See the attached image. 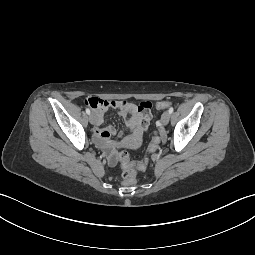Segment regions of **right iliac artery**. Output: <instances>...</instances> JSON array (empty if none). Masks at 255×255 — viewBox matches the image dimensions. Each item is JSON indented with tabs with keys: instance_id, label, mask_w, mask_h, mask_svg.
Listing matches in <instances>:
<instances>
[{
	"instance_id": "obj_1",
	"label": "right iliac artery",
	"mask_w": 255,
	"mask_h": 255,
	"mask_svg": "<svg viewBox=\"0 0 255 255\" xmlns=\"http://www.w3.org/2000/svg\"><path fill=\"white\" fill-rule=\"evenodd\" d=\"M86 113H87L88 115H90V109H89V108H86Z\"/></svg>"
}]
</instances>
